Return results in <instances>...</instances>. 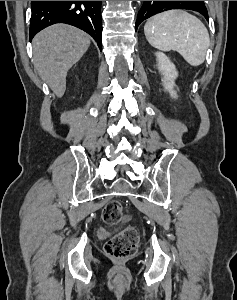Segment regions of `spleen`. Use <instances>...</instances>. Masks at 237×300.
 Instances as JSON below:
<instances>
[{
    "mask_svg": "<svg viewBox=\"0 0 237 300\" xmlns=\"http://www.w3.org/2000/svg\"><path fill=\"white\" fill-rule=\"evenodd\" d=\"M144 33L152 47L159 51H177L191 67L204 63L210 47L205 25L186 11H165L154 15L145 23Z\"/></svg>",
    "mask_w": 237,
    "mask_h": 300,
    "instance_id": "1",
    "label": "spleen"
}]
</instances>
